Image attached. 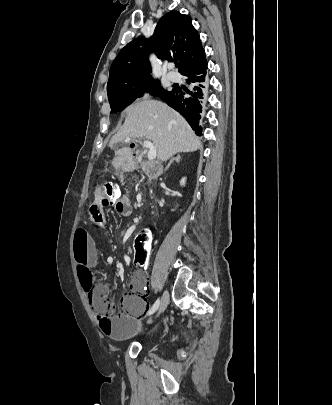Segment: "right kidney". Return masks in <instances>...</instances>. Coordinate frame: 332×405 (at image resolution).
Here are the masks:
<instances>
[{
	"mask_svg": "<svg viewBox=\"0 0 332 405\" xmlns=\"http://www.w3.org/2000/svg\"><path fill=\"white\" fill-rule=\"evenodd\" d=\"M185 183H186V178L183 177V178L180 180V185H181V186H185Z\"/></svg>",
	"mask_w": 332,
	"mask_h": 405,
	"instance_id": "ca27d5eb",
	"label": "right kidney"
}]
</instances>
